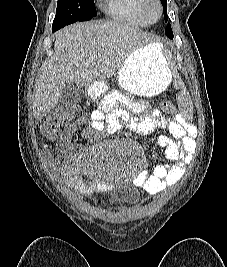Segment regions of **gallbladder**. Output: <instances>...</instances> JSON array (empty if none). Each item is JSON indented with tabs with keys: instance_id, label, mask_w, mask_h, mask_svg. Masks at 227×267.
Masks as SVG:
<instances>
[{
	"instance_id": "bac80fb5",
	"label": "gallbladder",
	"mask_w": 227,
	"mask_h": 267,
	"mask_svg": "<svg viewBox=\"0 0 227 267\" xmlns=\"http://www.w3.org/2000/svg\"><path fill=\"white\" fill-rule=\"evenodd\" d=\"M83 95L82 87L76 84H67L62 90L58 107L63 111H69L77 106Z\"/></svg>"
}]
</instances>
